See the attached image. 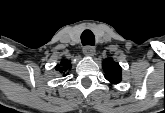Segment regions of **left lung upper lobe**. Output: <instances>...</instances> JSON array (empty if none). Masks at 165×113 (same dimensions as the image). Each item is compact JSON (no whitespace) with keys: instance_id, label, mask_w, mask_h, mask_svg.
Wrapping results in <instances>:
<instances>
[{"instance_id":"1","label":"left lung upper lobe","mask_w":165,"mask_h":113,"mask_svg":"<svg viewBox=\"0 0 165 113\" xmlns=\"http://www.w3.org/2000/svg\"><path fill=\"white\" fill-rule=\"evenodd\" d=\"M103 69L105 72V78L112 84H117L121 81V67L113 59H106L103 61Z\"/></svg>"}]
</instances>
